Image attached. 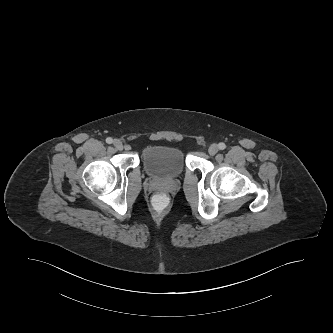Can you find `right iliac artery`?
<instances>
[{"mask_svg":"<svg viewBox=\"0 0 333 333\" xmlns=\"http://www.w3.org/2000/svg\"><path fill=\"white\" fill-rule=\"evenodd\" d=\"M106 142H107L108 144H111V143L113 142V139H112L111 137H108V138L106 139Z\"/></svg>","mask_w":333,"mask_h":333,"instance_id":"obj_1","label":"right iliac artery"}]
</instances>
